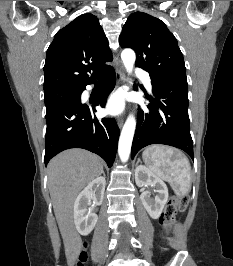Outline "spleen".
Instances as JSON below:
<instances>
[{
  "instance_id": "spleen-1",
  "label": "spleen",
  "mask_w": 233,
  "mask_h": 266,
  "mask_svg": "<svg viewBox=\"0 0 233 266\" xmlns=\"http://www.w3.org/2000/svg\"><path fill=\"white\" fill-rule=\"evenodd\" d=\"M143 159L149 170L167 181L177 195L184 196L191 189L189 160L174 148L162 145L147 147Z\"/></svg>"
}]
</instances>
